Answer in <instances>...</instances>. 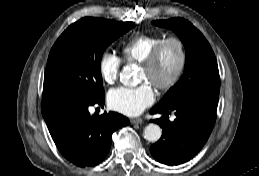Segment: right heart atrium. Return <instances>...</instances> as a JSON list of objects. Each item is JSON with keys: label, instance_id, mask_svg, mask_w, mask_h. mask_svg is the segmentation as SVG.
<instances>
[{"label": "right heart atrium", "instance_id": "obj_1", "mask_svg": "<svg viewBox=\"0 0 259 176\" xmlns=\"http://www.w3.org/2000/svg\"><path fill=\"white\" fill-rule=\"evenodd\" d=\"M121 59L116 54L105 51L101 54L98 62V72L105 84L115 83L121 69Z\"/></svg>", "mask_w": 259, "mask_h": 176}]
</instances>
